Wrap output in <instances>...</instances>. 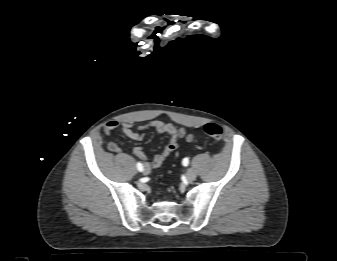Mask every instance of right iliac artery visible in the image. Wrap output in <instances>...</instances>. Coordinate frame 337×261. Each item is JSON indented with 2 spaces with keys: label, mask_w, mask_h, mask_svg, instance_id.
<instances>
[{
  "label": "right iliac artery",
  "mask_w": 337,
  "mask_h": 261,
  "mask_svg": "<svg viewBox=\"0 0 337 261\" xmlns=\"http://www.w3.org/2000/svg\"><path fill=\"white\" fill-rule=\"evenodd\" d=\"M137 169H138L140 172L143 171V165H142L140 162L137 163Z\"/></svg>",
  "instance_id": "1"
}]
</instances>
